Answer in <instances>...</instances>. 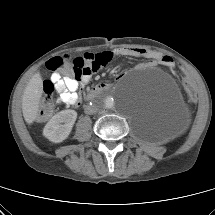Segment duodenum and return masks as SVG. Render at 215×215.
I'll return each mask as SVG.
<instances>
[{"label": "duodenum", "mask_w": 215, "mask_h": 215, "mask_svg": "<svg viewBox=\"0 0 215 215\" xmlns=\"http://www.w3.org/2000/svg\"><path fill=\"white\" fill-rule=\"evenodd\" d=\"M110 88V84L102 82L96 85L91 91L87 94L86 99L91 100L97 95L101 94L104 91H107Z\"/></svg>", "instance_id": "410a0bca"}]
</instances>
